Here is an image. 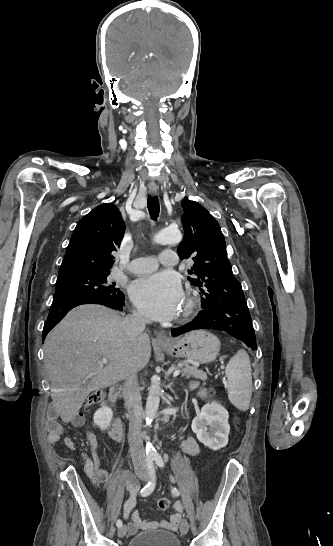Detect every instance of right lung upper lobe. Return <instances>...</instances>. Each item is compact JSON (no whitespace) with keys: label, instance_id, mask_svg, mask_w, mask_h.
<instances>
[{"label":"right lung upper lobe","instance_id":"1","mask_svg":"<svg viewBox=\"0 0 333 546\" xmlns=\"http://www.w3.org/2000/svg\"><path fill=\"white\" fill-rule=\"evenodd\" d=\"M125 224L121 213L111 203L102 204L85 215L77 224L59 276L83 272H110L116 251L123 238Z\"/></svg>","mask_w":333,"mask_h":546}]
</instances>
